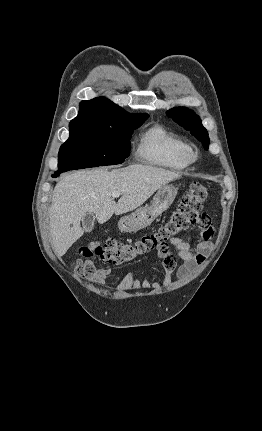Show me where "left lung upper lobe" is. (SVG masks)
<instances>
[{
    "label": "left lung upper lobe",
    "mask_w": 262,
    "mask_h": 431,
    "mask_svg": "<svg viewBox=\"0 0 262 431\" xmlns=\"http://www.w3.org/2000/svg\"><path fill=\"white\" fill-rule=\"evenodd\" d=\"M167 115L190 131L207 150L209 146V137L207 130L202 126L201 120L192 110L185 107H177L167 111Z\"/></svg>",
    "instance_id": "5c2ea615"
}]
</instances>
